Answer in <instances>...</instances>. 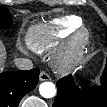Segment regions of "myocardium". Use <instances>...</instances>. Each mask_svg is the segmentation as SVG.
<instances>
[{"mask_svg":"<svg viewBox=\"0 0 107 107\" xmlns=\"http://www.w3.org/2000/svg\"><path fill=\"white\" fill-rule=\"evenodd\" d=\"M91 41L88 27L80 25L67 38L52 58L54 67L62 73L77 67L84 59Z\"/></svg>","mask_w":107,"mask_h":107,"instance_id":"f54148a6","label":"myocardium"}]
</instances>
